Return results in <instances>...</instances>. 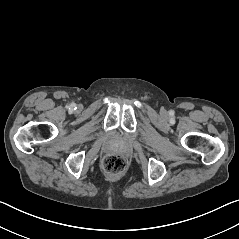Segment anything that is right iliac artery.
<instances>
[{
    "mask_svg": "<svg viewBox=\"0 0 239 239\" xmlns=\"http://www.w3.org/2000/svg\"><path fill=\"white\" fill-rule=\"evenodd\" d=\"M70 110H75L76 109V104L72 103L69 107Z\"/></svg>",
    "mask_w": 239,
    "mask_h": 239,
    "instance_id": "right-iliac-artery-1",
    "label": "right iliac artery"
}]
</instances>
